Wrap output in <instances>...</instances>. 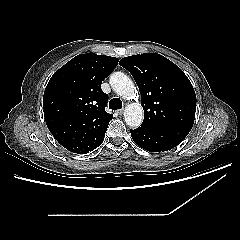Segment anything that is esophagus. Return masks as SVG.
<instances>
[{"label": "esophagus", "mask_w": 240, "mask_h": 240, "mask_svg": "<svg viewBox=\"0 0 240 240\" xmlns=\"http://www.w3.org/2000/svg\"><path fill=\"white\" fill-rule=\"evenodd\" d=\"M117 114H118V115H122V114H123V110H122V109H121V110H118V111H117Z\"/></svg>", "instance_id": "1"}]
</instances>
